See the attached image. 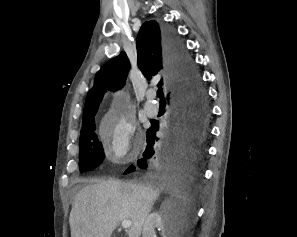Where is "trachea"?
<instances>
[{
	"label": "trachea",
	"instance_id": "1",
	"mask_svg": "<svg viewBox=\"0 0 297 237\" xmlns=\"http://www.w3.org/2000/svg\"><path fill=\"white\" fill-rule=\"evenodd\" d=\"M157 97L160 99V101H164L165 100L162 87H159L158 88V90H157Z\"/></svg>",
	"mask_w": 297,
	"mask_h": 237
}]
</instances>
